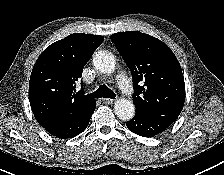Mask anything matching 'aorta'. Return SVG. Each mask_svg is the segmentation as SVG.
I'll list each match as a JSON object with an SVG mask.
<instances>
[{
  "label": "aorta",
  "instance_id": "1",
  "mask_svg": "<svg viewBox=\"0 0 224 175\" xmlns=\"http://www.w3.org/2000/svg\"><path fill=\"white\" fill-rule=\"evenodd\" d=\"M93 64L100 72L110 74L114 71L116 60L109 51H98L93 57ZM114 112L121 120H131L135 114L134 104L124 98L117 99L114 103Z\"/></svg>",
  "mask_w": 224,
  "mask_h": 175
}]
</instances>
